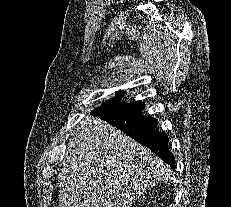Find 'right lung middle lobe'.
I'll list each match as a JSON object with an SVG mask.
<instances>
[{
  "mask_svg": "<svg viewBox=\"0 0 231 207\" xmlns=\"http://www.w3.org/2000/svg\"><path fill=\"white\" fill-rule=\"evenodd\" d=\"M124 95L123 91L118 92V96L112 100H109L107 103H114V102H118L121 99V96Z\"/></svg>",
  "mask_w": 231,
  "mask_h": 207,
  "instance_id": "obj_1",
  "label": "right lung middle lobe"
}]
</instances>
